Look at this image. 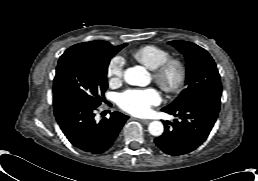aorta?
<instances>
[{
  "label": "aorta",
  "mask_w": 258,
  "mask_h": 181,
  "mask_svg": "<svg viewBox=\"0 0 258 181\" xmlns=\"http://www.w3.org/2000/svg\"><path fill=\"white\" fill-rule=\"evenodd\" d=\"M125 81L134 86H146L148 83L147 71L144 67L135 66L125 70ZM148 131L153 136H160L164 131V126L160 121H152L148 126Z\"/></svg>",
  "instance_id": "aorta-1"
}]
</instances>
